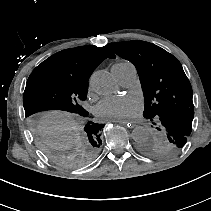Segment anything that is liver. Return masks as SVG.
Listing matches in <instances>:
<instances>
[{
	"label": "liver",
	"instance_id": "liver-1",
	"mask_svg": "<svg viewBox=\"0 0 211 211\" xmlns=\"http://www.w3.org/2000/svg\"><path fill=\"white\" fill-rule=\"evenodd\" d=\"M73 115L64 111H48L42 114L40 126H43L47 131L52 130V126H59L66 131L73 130Z\"/></svg>",
	"mask_w": 211,
	"mask_h": 211
}]
</instances>
